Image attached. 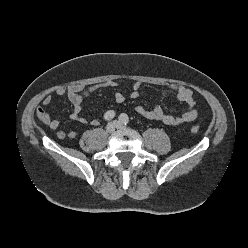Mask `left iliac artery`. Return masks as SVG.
Returning <instances> with one entry per match:
<instances>
[{
    "mask_svg": "<svg viewBox=\"0 0 248 248\" xmlns=\"http://www.w3.org/2000/svg\"><path fill=\"white\" fill-rule=\"evenodd\" d=\"M119 120L124 123L125 125L129 123V117L127 114L125 113H122L120 116H119Z\"/></svg>",
    "mask_w": 248,
    "mask_h": 248,
    "instance_id": "obj_1",
    "label": "left iliac artery"
}]
</instances>
